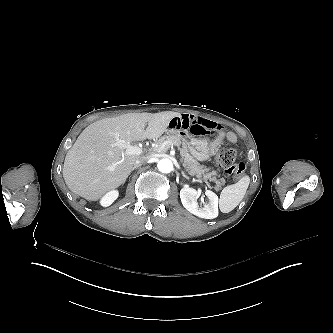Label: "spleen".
<instances>
[{
    "instance_id": "1",
    "label": "spleen",
    "mask_w": 333,
    "mask_h": 333,
    "mask_svg": "<svg viewBox=\"0 0 333 333\" xmlns=\"http://www.w3.org/2000/svg\"><path fill=\"white\" fill-rule=\"evenodd\" d=\"M250 181V176L244 175L237 183L223 188L219 196V209L222 213L231 212L241 203L248 190Z\"/></svg>"
}]
</instances>
